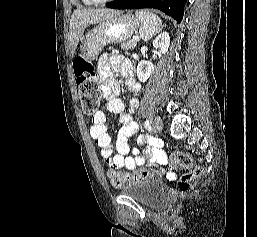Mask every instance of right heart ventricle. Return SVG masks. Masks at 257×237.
I'll use <instances>...</instances> for the list:
<instances>
[{"instance_id": "right-heart-ventricle-1", "label": "right heart ventricle", "mask_w": 257, "mask_h": 237, "mask_svg": "<svg viewBox=\"0 0 257 237\" xmlns=\"http://www.w3.org/2000/svg\"><path fill=\"white\" fill-rule=\"evenodd\" d=\"M84 5L90 6L92 5L90 0H81Z\"/></svg>"}]
</instances>
